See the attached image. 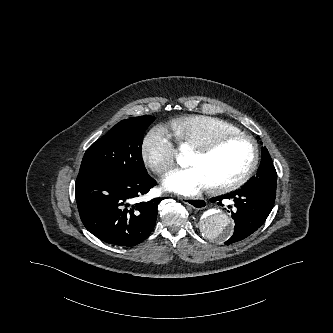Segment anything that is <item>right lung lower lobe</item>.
Returning a JSON list of instances; mask_svg holds the SVG:
<instances>
[{"mask_svg":"<svg viewBox=\"0 0 333 333\" xmlns=\"http://www.w3.org/2000/svg\"><path fill=\"white\" fill-rule=\"evenodd\" d=\"M156 185L148 173L140 177L114 173L78 175L75 189L80 218L88 231L116 246L141 243L153 230L160 198L135 203Z\"/></svg>","mask_w":333,"mask_h":333,"instance_id":"obj_1","label":"right lung lower lobe"}]
</instances>
